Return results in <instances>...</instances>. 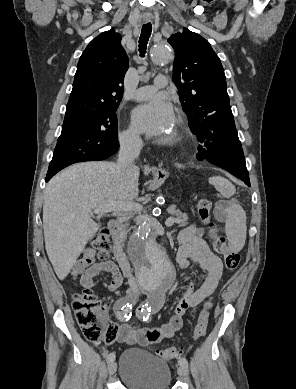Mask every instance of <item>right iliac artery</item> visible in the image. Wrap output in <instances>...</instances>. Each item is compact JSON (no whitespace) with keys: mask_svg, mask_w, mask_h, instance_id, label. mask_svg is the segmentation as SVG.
Returning a JSON list of instances; mask_svg holds the SVG:
<instances>
[{"mask_svg":"<svg viewBox=\"0 0 296 389\" xmlns=\"http://www.w3.org/2000/svg\"><path fill=\"white\" fill-rule=\"evenodd\" d=\"M132 308H133L132 302H128V299L126 297L121 298L117 304V312H116L117 317L122 321L126 320L125 314L127 313L128 309H132ZM104 356L106 357L107 362L113 361L115 359L114 353L108 354V352H104Z\"/></svg>","mask_w":296,"mask_h":389,"instance_id":"82829eb1","label":"right iliac artery"}]
</instances>
